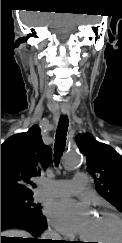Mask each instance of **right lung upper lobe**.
Listing matches in <instances>:
<instances>
[{"instance_id":"right-lung-upper-lobe-1","label":"right lung upper lobe","mask_w":122,"mask_h":243,"mask_svg":"<svg viewBox=\"0 0 122 243\" xmlns=\"http://www.w3.org/2000/svg\"><path fill=\"white\" fill-rule=\"evenodd\" d=\"M51 153L37 125L9 137L1 145V199L33 195L30 179L47 168Z\"/></svg>"}]
</instances>
